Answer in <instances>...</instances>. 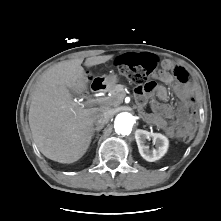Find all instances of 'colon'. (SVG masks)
Masks as SVG:
<instances>
[{"label":"colon","instance_id":"obj_1","mask_svg":"<svg viewBox=\"0 0 221 221\" xmlns=\"http://www.w3.org/2000/svg\"><path fill=\"white\" fill-rule=\"evenodd\" d=\"M117 68L128 80L142 86L146 91L154 88L153 79L159 75L157 59L149 53L140 54L133 61H118ZM194 119L195 114H192V121L182 134L185 142L191 141L194 136Z\"/></svg>","mask_w":221,"mask_h":221}]
</instances>
